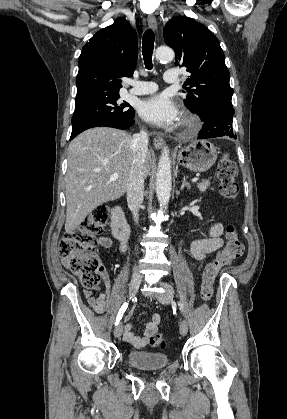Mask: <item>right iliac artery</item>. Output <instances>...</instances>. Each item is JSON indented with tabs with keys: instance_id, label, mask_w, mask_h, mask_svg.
<instances>
[{
	"instance_id": "obj_1",
	"label": "right iliac artery",
	"mask_w": 287,
	"mask_h": 419,
	"mask_svg": "<svg viewBox=\"0 0 287 419\" xmlns=\"http://www.w3.org/2000/svg\"><path fill=\"white\" fill-rule=\"evenodd\" d=\"M127 307H128V302H125V303L121 306V308H120V310H119V312H118V314H117V317H116V322H115V325H118V324H119V321L122 319L123 314H124V312L126 311Z\"/></svg>"
}]
</instances>
